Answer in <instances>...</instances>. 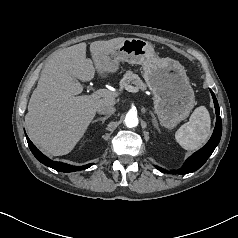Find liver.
I'll return each mask as SVG.
<instances>
[{
	"label": "liver",
	"mask_w": 238,
	"mask_h": 238,
	"mask_svg": "<svg viewBox=\"0 0 238 238\" xmlns=\"http://www.w3.org/2000/svg\"><path fill=\"white\" fill-rule=\"evenodd\" d=\"M126 38L118 37L90 44L92 60L86 58V43L55 52L43 68L28 104L25 123L32 141L53 156L68 154L84 135L100 105L113 106L110 98L78 96L82 85L75 79L90 81L95 70L109 73L102 65L103 53Z\"/></svg>",
	"instance_id": "1"
}]
</instances>
